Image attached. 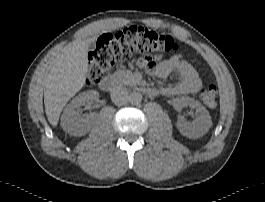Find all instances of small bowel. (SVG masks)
Wrapping results in <instances>:
<instances>
[{
    "instance_id": "c3829d8e",
    "label": "small bowel",
    "mask_w": 265,
    "mask_h": 202,
    "mask_svg": "<svg viewBox=\"0 0 265 202\" xmlns=\"http://www.w3.org/2000/svg\"><path fill=\"white\" fill-rule=\"evenodd\" d=\"M176 71L178 81L175 85L164 89V93L171 96L195 94L202 86L197 70L181 55H175L159 61L149 73L159 79H167Z\"/></svg>"
}]
</instances>
